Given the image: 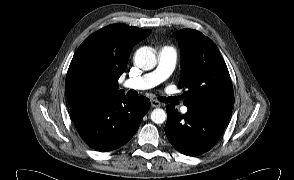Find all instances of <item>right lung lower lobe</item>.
I'll return each mask as SVG.
<instances>
[{"label":"right lung lower lobe","instance_id":"obj_1","mask_svg":"<svg viewBox=\"0 0 294 180\" xmlns=\"http://www.w3.org/2000/svg\"><path fill=\"white\" fill-rule=\"evenodd\" d=\"M149 108L148 98L129 99L121 94L80 105L71 110V117L87 145L107 152L134 136Z\"/></svg>","mask_w":294,"mask_h":180}]
</instances>
